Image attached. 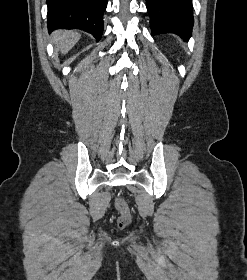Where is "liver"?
Here are the masks:
<instances>
[{
  "instance_id": "obj_1",
  "label": "liver",
  "mask_w": 247,
  "mask_h": 280,
  "mask_svg": "<svg viewBox=\"0 0 247 280\" xmlns=\"http://www.w3.org/2000/svg\"><path fill=\"white\" fill-rule=\"evenodd\" d=\"M81 35L74 31H55L52 40L62 54H66L79 41Z\"/></svg>"
}]
</instances>
